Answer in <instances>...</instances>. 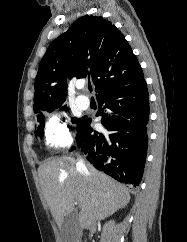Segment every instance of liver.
I'll return each instance as SVG.
<instances>
[{
  "label": "liver",
  "mask_w": 187,
  "mask_h": 242,
  "mask_svg": "<svg viewBox=\"0 0 187 242\" xmlns=\"http://www.w3.org/2000/svg\"><path fill=\"white\" fill-rule=\"evenodd\" d=\"M89 176L77 169L75 159L69 156L47 159L38 168L43 196L61 228L65 217L78 202L81 211L78 221L82 228H90L97 220L105 219L130 201L128 189L96 170L89 163Z\"/></svg>",
  "instance_id": "6515ba94"
}]
</instances>
